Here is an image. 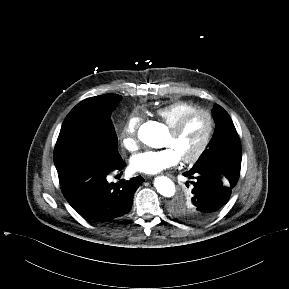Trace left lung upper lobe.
<instances>
[{"instance_id":"obj_1","label":"left lung upper lobe","mask_w":289,"mask_h":289,"mask_svg":"<svg viewBox=\"0 0 289 289\" xmlns=\"http://www.w3.org/2000/svg\"><path fill=\"white\" fill-rule=\"evenodd\" d=\"M216 127L207 149L202 153L191 170L211 167H241V143L235 126L228 113L219 105L213 107ZM176 217L191 223L201 220L194 215L189 200L178 198L171 206Z\"/></svg>"}]
</instances>
